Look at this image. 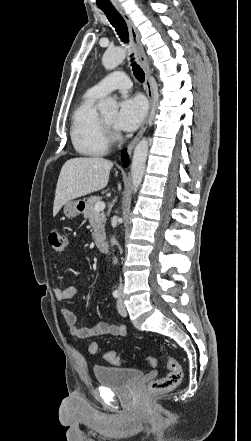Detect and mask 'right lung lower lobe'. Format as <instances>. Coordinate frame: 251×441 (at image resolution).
I'll list each match as a JSON object with an SVG mask.
<instances>
[{"instance_id": "right-lung-lower-lobe-1", "label": "right lung lower lobe", "mask_w": 251, "mask_h": 441, "mask_svg": "<svg viewBox=\"0 0 251 441\" xmlns=\"http://www.w3.org/2000/svg\"><path fill=\"white\" fill-rule=\"evenodd\" d=\"M122 162L124 167H127L129 164V159L125 151L122 152Z\"/></svg>"}]
</instances>
